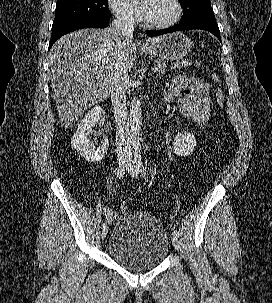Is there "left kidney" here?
<instances>
[{"label": "left kidney", "mask_w": 272, "mask_h": 303, "mask_svg": "<svg viewBox=\"0 0 272 303\" xmlns=\"http://www.w3.org/2000/svg\"><path fill=\"white\" fill-rule=\"evenodd\" d=\"M196 146V138L193 134L178 133L174 138V153L178 156L185 157L191 154Z\"/></svg>", "instance_id": "left-kidney-1"}]
</instances>
